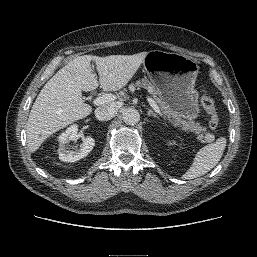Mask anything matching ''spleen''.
<instances>
[{
  "label": "spleen",
  "mask_w": 257,
  "mask_h": 257,
  "mask_svg": "<svg viewBox=\"0 0 257 257\" xmlns=\"http://www.w3.org/2000/svg\"><path fill=\"white\" fill-rule=\"evenodd\" d=\"M226 147V138L221 137L214 143L201 148L195 155L191 167L182 176L183 179H194L206 174L221 159Z\"/></svg>",
  "instance_id": "obj_1"
}]
</instances>
